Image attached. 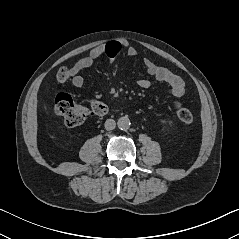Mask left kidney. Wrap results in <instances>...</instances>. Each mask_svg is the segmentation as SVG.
<instances>
[{
    "mask_svg": "<svg viewBox=\"0 0 239 239\" xmlns=\"http://www.w3.org/2000/svg\"><path fill=\"white\" fill-rule=\"evenodd\" d=\"M164 124V129L165 130H170L172 127V122L171 121H167V120H162L161 121Z\"/></svg>",
    "mask_w": 239,
    "mask_h": 239,
    "instance_id": "left-kidney-1",
    "label": "left kidney"
}]
</instances>
